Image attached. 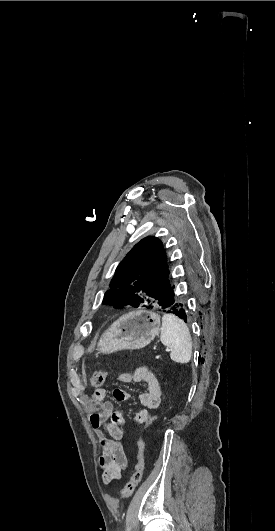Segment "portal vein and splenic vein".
I'll list each match as a JSON object with an SVG mask.
<instances>
[{"instance_id": "obj_1", "label": "portal vein and splenic vein", "mask_w": 275, "mask_h": 531, "mask_svg": "<svg viewBox=\"0 0 275 531\" xmlns=\"http://www.w3.org/2000/svg\"><path fill=\"white\" fill-rule=\"evenodd\" d=\"M167 353H171V350L169 348H166Z\"/></svg>"}]
</instances>
